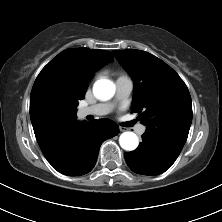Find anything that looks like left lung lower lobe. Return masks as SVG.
Returning <instances> with one entry per match:
<instances>
[{
    "label": "left lung lower lobe",
    "mask_w": 222,
    "mask_h": 222,
    "mask_svg": "<svg viewBox=\"0 0 222 222\" xmlns=\"http://www.w3.org/2000/svg\"><path fill=\"white\" fill-rule=\"evenodd\" d=\"M170 133L161 135L155 131H146L139 147L135 151L124 153L129 168L143 175H157L169 169L181 152L170 140H182L186 136L180 127H173Z\"/></svg>",
    "instance_id": "obj_1"
}]
</instances>
